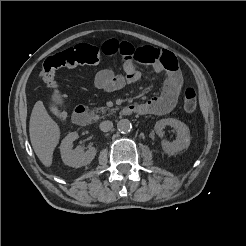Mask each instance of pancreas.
I'll use <instances>...</instances> for the list:
<instances>
[{
	"mask_svg": "<svg viewBox=\"0 0 246 246\" xmlns=\"http://www.w3.org/2000/svg\"><path fill=\"white\" fill-rule=\"evenodd\" d=\"M116 109H109V108H106V107H100V108H97L95 109L96 112H101V113H105L106 111H109L110 113H113L115 112Z\"/></svg>",
	"mask_w": 246,
	"mask_h": 246,
	"instance_id": "cf45deb5",
	"label": "pancreas"
}]
</instances>
